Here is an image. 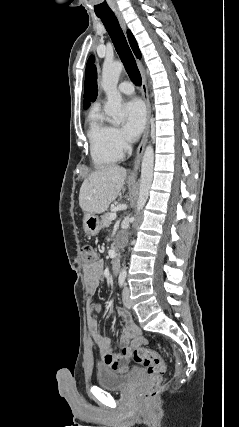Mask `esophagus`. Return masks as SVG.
<instances>
[{"instance_id":"esophagus-1","label":"esophagus","mask_w":239,"mask_h":427,"mask_svg":"<svg viewBox=\"0 0 239 427\" xmlns=\"http://www.w3.org/2000/svg\"><path fill=\"white\" fill-rule=\"evenodd\" d=\"M116 17H117V19H118L121 27L124 30H126V24H125L124 18L121 15V13L120 12H116ZM137 65H138V68L140 70L141 77H142L141 90H142L143 99H144L145 104H146L147 119H146V127H145V130H144L141 142H140V144H139V146L137 148L134 165H133V169H132V172H131L132 176L135 175V173H136V171L138 169L140 160L142 158V155H143V152H144V149H145V145H146L147 140H148V135H149V130H150V116H151V108H150L149 95H148V87H147V83H146V77H145L144 67H143V64H142V62L140 60H137Z\"/></svg>"}]
</instances>
